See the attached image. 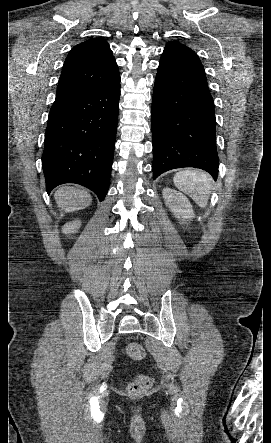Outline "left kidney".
Wrapping results in <instances>:
<instances>
[{
    "mask_svg": "<svg viewBox=\"0 0 271 443\" xmlns=\"http://www.w3.org/2000/svg\"><path fill=\"white\" fill-rule=\"evenodd\" d=\"M162 194L168 208L171 212H174L176 218H183V223L194 218L193 208L184 194H180L176 190H170V188H164Z\"/></svg>",
    "mask_w": 271,
    "mask_h": 443,
    "instance_id": "5707ae66",
    "label": "left kidney"
}]
</instances>
